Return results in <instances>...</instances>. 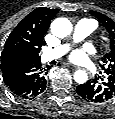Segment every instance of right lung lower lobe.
Segmentation results:
<instances>
[{"label": "right lung lower lobe", "mask_w": 115, "mask_h": 119, "mask_svg": "<svg viewBox=\"0 0 115 119\" xmlns=\"http://www.w3.org/2000/svg\"><path fill=\"white\" fill-rule=\"evenodd\" d=\"M48 69V68H47ZM46 69L40 67V60L27 62L2 70L5 84L17 95L33 98L46 89Z\"/></svg>", "instance_id": "1"}]
</instances>
